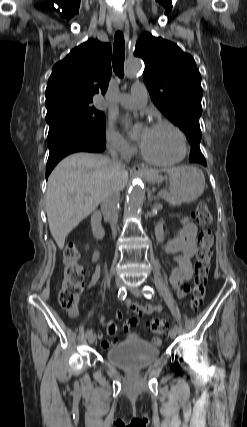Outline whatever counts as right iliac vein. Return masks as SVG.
Returning a JSON list of instances; mask_svg holds the SVG:
<instances>
[{"label": "right iliac vein", "instance_id": "right-iliac-vein-1", "mask_svg": "<svg viewBox=\"0 0 247 427\" xmlns=\"http://www.w3.org/2000/svg\"><path fill=\"white\" fill-rule=\"evenodd\" d=\"M116 286H117V288H121L123 286V282L121 279H119V278L116 279ZM95 340H96V335L94 333H92L88 336V343L90 345H92L95 342Z\"/></svg>", "mask_w": 247, "mask_h": 427}]
</instances>
